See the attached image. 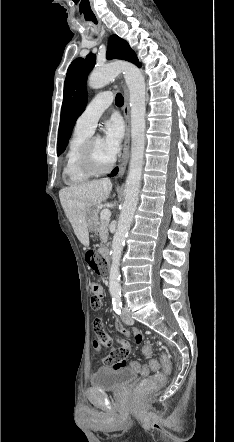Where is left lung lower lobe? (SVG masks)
<instances>
[{
    "label": "left lung lower lobe",
    "mask_w": 234,
    "mask_h": 442,
    "mask_svg": "<svg viewBox=\"0 0 234 442\" xmlns=\"http://www.w3.org/2000/svg\"><path fill=\"white\" fill-rule=\"evenodd\" d=\"M138 67H141V64H140ZM116 173H117V169H115V170L111 173L110 177L115 176Z\"/></svg>",
    "instance_id": "1"
}]
</instances>
